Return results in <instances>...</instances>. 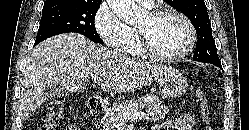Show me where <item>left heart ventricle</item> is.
<instances>
[{
	"label": "left heart ventricle",
	"instance_id": "left-heart-ventricle-1",
	"mask_svg": "<svg viewBox=\"0 0 249 130\" xmlns=\"http://www.w3.org/2000/svg\"><path fill=\"white\" fill-rule=\"evenodd\" d=\"M138 28L145 29L154 49L166 55L180 52L189 40L186 25L174 16H165L152 21L147 15Z\"/></svg>",
	"mask_w": 249,
	"mask_h": 130
}]
</instances>
